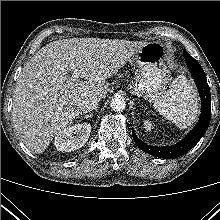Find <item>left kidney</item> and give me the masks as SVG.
<instances>
[{
	"mask_svg": "<svg viewBox=\"0 0 220 220\" xmlns=\"http://www.w3.org/2000/svg\"><path fill=\"white\" fill-rule=\"evenodd\" d=\"M144 128L147 130V131H150L151 130V124L148 122V121H145L144 122Z\"/></svg>",
	"mask_w": 220,
	"mask_h": 220,
	"instance_id": "obj_1",
	"label": "left kidney"
}]
</instances>
